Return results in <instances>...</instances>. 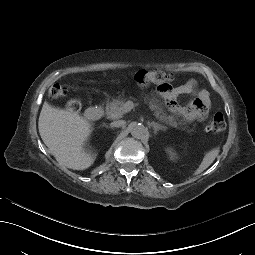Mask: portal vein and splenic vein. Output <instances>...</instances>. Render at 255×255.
Listing matches in <instances>:
<instances>
[{
  "label": "portal vein and splenic vein",
  "instance_id": "1",
  "mask_svg": "<svg viewBox=\"0 0 255 255\" xmlns=\"http://www.w3.org/2000/svg\"><path fill=\"white\" fill-rule=\"evenodd\" d=\"M135 107V104L131 101H126V103L123 106L124 112L131 113L133 111V108Z\"/></svg>",
  "mask_w": 255,
  "mask_h": 255
}]
</instances>
